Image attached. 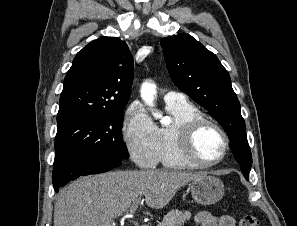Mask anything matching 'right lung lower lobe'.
I'll return each instance as SVG.
<instances>
[{
  "label": "right lung lower lobe",
  "mask_w": 297,
  "mask_h": 226,
  "mask_svg": "<svg viewBox=\"0 0 297 226\" xmlns=\"http://www.w3.org/2000/svg\"><path fill=\"white\" fill-rule=\"evenodd\" d=\"M122 164V160L101 153H78L55 158L53 164V186L59 187L80 176L107 172Z\"/></svg>",
  "instance_id": "98d812e1"
}]
</instances>
